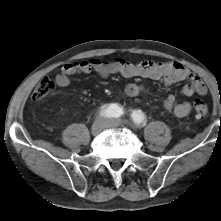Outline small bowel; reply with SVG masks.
Masks as SVG:
<instances>
[{"mask_svg":"<svg viewBox=\"0 0 221 221\" xmlns=\"http://www.w3.org/2000/svg\"><path fill=\"white\" fill-rule=\"evenodd\" d=\"M90 73H96L102 78H107L113 74L124 77H143L161 81L165 85L187 81L188 84L181 89V94L185 97L203 96L208 92L203 80L180 63L152 60L131 62L125 58H115L110 61L92 59L78 63H67L55 76V82L59 87L65 88L70 85L71 76ZM142 91L143 86L135 83L127 84L123 89L124 95L129 98L138 96ZM163 106L167 112L181 118L188 116L192 110L191 103L187 101L177 103L173 94L166 96Z\"/></svg>","mask_w":221,"mask_h":221,"instance_id":"c3829d8e","label":"small bowel"}]
</instances>
